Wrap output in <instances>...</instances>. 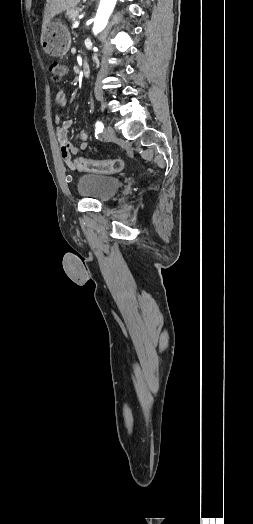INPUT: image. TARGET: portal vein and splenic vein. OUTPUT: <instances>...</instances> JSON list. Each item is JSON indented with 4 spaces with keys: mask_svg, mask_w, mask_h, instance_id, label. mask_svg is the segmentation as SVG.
Instances as JSON below:
<instances>
[{
    "mask_svg": "<svg viewBox=\"0 0 253 524\" xmlns=\"http://www.w3.org/2000/svg\"><path fill=\"white\" fill-rule=\"evenodd\" d=\"M79 26V21H74L73 28H77Z\"/></svg>",
    "mask_w": 253,
    "mask_h": 524,
    "instance_id": "portal-vein-and-splenic-vein-1",
    "label": "portal vein and splenic vein"
}]
</instances>
